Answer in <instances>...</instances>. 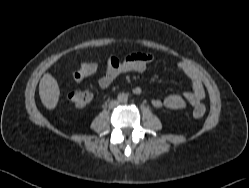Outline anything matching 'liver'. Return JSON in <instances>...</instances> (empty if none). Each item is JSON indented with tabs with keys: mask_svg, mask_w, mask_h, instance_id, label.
I'll return each mask as SVG.
<instances>
[{
	"mask_svg": "<svg viewBox=\"0 0 249 188\" xmlns=\"http://www.w3.org/2000/svg\"><path fill=\"white\" fill-rule=\"evenodd\" d=\"M39 95L42 104L49 110L55 109L60 97V89L57 80L45 73L39 83Z\"/></svg>",
	"mask_w": 249,
	"mask_h": 188,
	"instance_id": "6515ba94",
	"label": "liver"
}]
</instances>
